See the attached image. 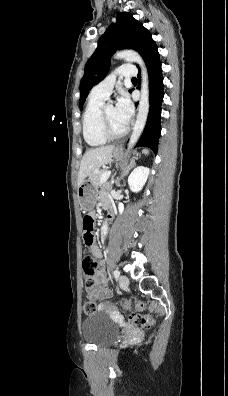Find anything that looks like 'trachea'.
<instances>
[{
	"instance_id": "obj_1",
	"label": "trachea",
	"mask_w": 228,
	"mask_h": 396,
	"mask_svg": "<svg viewBox=\"0 0 228 396\" xmlns=\"http://www.w3.org/2000/svg\"><path fill=\"white\" fill-rule=\"evenodd\" d=\"M132 81H137V78H132Z\"/></svg>"
}]
</instances>
